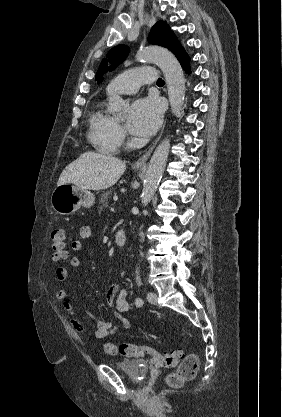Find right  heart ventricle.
<instances>
[{"mask_svg": "<svg viewBox=\"0 0 282 417\" xmlns=\"http://www.w3.org/2000/svg\"><path fill=\"white\" fill-rule=\"evenodd\" d=\"M89 140L98 149L113 152L120 145V134L115 119L99 105L89 119Z\"/></svg>", "mask_w": 282, "mask_h": 417, "instance_id": "e07e8e85", "label": "right heart ventricle"}]
</instances>
